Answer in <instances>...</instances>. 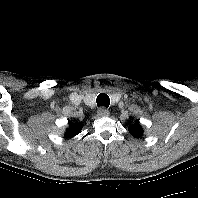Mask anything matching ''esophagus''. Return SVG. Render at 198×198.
Masks as SVG:
<instances>
[{
    "instance_id": "obj_1",
    "label": "esophagus",
    "mask_w": 198,
    "mask_h": 198,
    "mask_svg": "<svg viewBox=\"0 0 198 198\" xmlns=\"http://www.w3.org/2000/svg\"><path fill=\"white\" fill-rule=\"evenodd\" d=\"M107 116H109V111L106 108L101 107L100 109H98L97 117H107Z\"/></svg>"
}]
</instances>
